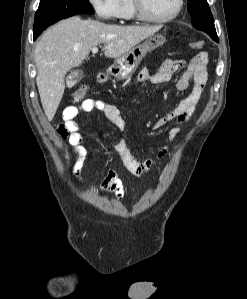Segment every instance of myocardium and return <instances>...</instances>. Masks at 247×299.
Instances as JSON below:
<instances>
[{"mask_svg":"<svg viewBox=\"0 0 247 299\" xmlns=\"http://www.w3.org/2000/svg\"><path fill=\"white\" fill-rule=\"evenodd\" d=\"M133 2V7L135 11V15L138 19L145 21V22H150V23H157V24H163V23H168L171 22L172 20L176 19L180 12L182 11L184 0H177V6L174 10V12L163 18H156L150 16L144 7V1L143 0H132Z\"/></svg>","mask_w":247,"mask_h":299,"instance_id":"f54148a6","label":"myocardium"}]
</instances>
